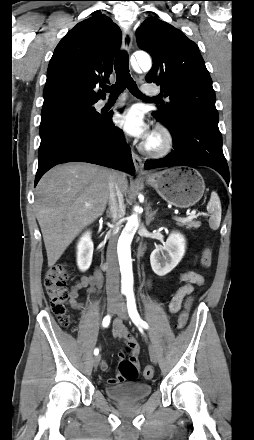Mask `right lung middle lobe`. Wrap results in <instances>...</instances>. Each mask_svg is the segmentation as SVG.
<instances>
[{"label":"right lung middle lobe","mask_w":254,"mask_h":440,"mask_svg":"<svg viewBox=\"0 0 254 440\" xmlns=\"http://www.w3.org/2000/svg\"><path fill=\"white\" fill-rule=\"evenodd\" d=\"M97 101L77 95H59L44 101L41 112L40 145L64 129L95 122L99 113L95 111L93 105Z\"/></svg>","instance_id":"obj_1"}]
</instances>
